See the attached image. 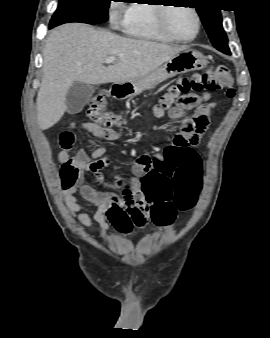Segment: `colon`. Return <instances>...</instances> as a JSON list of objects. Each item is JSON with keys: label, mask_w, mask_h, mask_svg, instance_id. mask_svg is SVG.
Segmentation results:
<instances>
[{"label": "colon", "mask_w": 270, "mask_h": 338, "mask_svg": "<svg viewBox=\"0 0 270 338\" xmlns=\"http://www.w3.org/2000/svg\"><path fill=\"white\" fill-rule=\"evenodd\" d=\"M233 85L234 81L227 67L223 65L213 66L205 73L193 74L190 77L179 79L169 92L170 98L160 101L155 108V113L160 114L168 111L171 107V98L176 97L180 93L189 95L185 100L189 105L195 104V98L191 97L190 94L201 91L214 92L224 90L226 96L232 98L234 97ZM107 105L108 96L103 92L98 93L91 98L87 107V115L95 124L109 128L117 124L118 117L113 113L104 112ZM207 123V117L203 114V110H200L194 120L186 124L185 128L191 133V143L193 146L199 145L205 134ZM185 143V137L182 134H178L174 137L172 144L163 149V152ZM136 164H140L139 159L136 160ZM142 170L144 171V177L140 181L133 182L134 190L129 196L130 198L120 199L119 208L112 210L110 223L113 226L128 229L132 223L134 224L137 221V217L140 214L147 216L146 220L151 217L157 224L166 223L171 220L175 210L185 211L196 204L201 188V182L197 177V173L194 175V179L188 182L186 187L177 186L173 195L174 206L162 203L150 204L139 200V194L149 189L147 172L150 169L146 167ZM80 175L81 170L76 161L70 160L66 162L60 172L62 186L67 188L73 185Z\"/></svg>", "instance_id": "1"}]
</instances>
